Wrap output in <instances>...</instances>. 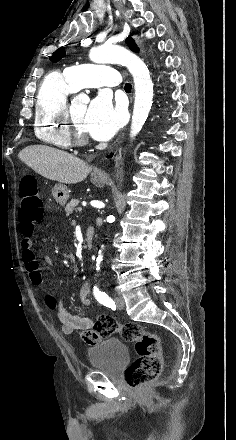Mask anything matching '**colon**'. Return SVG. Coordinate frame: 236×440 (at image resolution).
Here are the masks:
<instances>
[{"instance_id":"1","label":"colon","mask_w":236,"mask_h":440,"mask_svg":"<svg viewBox=\"0 0 236 440\" xmlns=\"http://www.w3.org/2000/svg\"><path fill=\"white\" fill-rule=\"evenodd\" d=\"M19 196L21 199L19 209L21 231L29 235L44 218V203L38 190L37 181L33 176L22 178L19 185ZM49 305L51 308H55L56 299L50 298ZM92 330L100 331V338L85 339L86 341H99L118 333L125 341L134 343L137 358L125 372V380L129 387L138 388L160 375L163 366L162 347L154 332L145 331L134 322L119 324L111 316H99Z\"/></svg>"}]
</instances>
